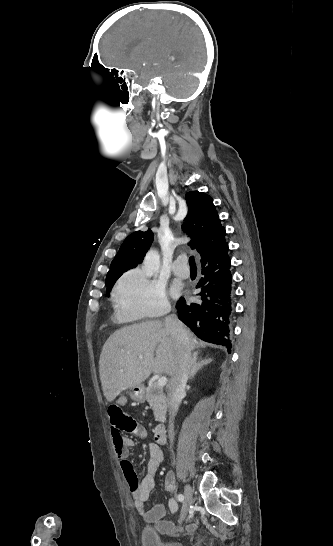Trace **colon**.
<instances>
[{
    "label": "colon",
    "mask_w": 333,
    "mask_h": 546,
    "mask_svg": "<svg viewBox=\"0 0 333 546\" xmlns=\"http://www.w3.org/2000/svg\"><path fill=\"white\" fill-rule=\"evenodd\" d=\"M109 418H119L126 431H131L132 426L124 419V411L120 400H111L107 411Z\"/></svg>",
    "instance_id": "obj_1"
}]
</instances>
